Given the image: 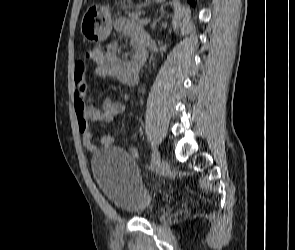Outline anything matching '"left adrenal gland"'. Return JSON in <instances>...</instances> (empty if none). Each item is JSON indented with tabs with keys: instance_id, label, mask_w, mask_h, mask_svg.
Listing matches in <instances>:
<instances>
[{
	"instance_id": "a2214340",
	"label": "left adrenal gland",
	"mask_w": 295,
	"mask_h": 250,
	"mask_svg": "<svg viewBox=\"0 0 295 250\" xmlns=\"http://www.w3.org/2000/svg\"><path fill=\"white\" fill-rule=\"evenodd\" d=\"M155 24H156V23L154 22L153 25H152V28H153V29L155 28Z\"/></svg>"
}]
</instances>
